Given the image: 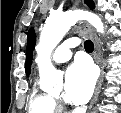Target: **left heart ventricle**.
<instances>
[{"label": "left heart ventricle", "mask_w": 121, "mask_h": 113, "mask_svg": "<svg viewBox=\"0 0 121 113\" xmlns=\"http://www.w3.org/2000/svg\"><path fill=\"white\" fill-rule=\"evenodd\" d=\"M59 94H60L59 92L53 93V95L56 96V97H59Z\"/></svg>", "instance_id": "left-heart-ventricle-1"}]
</instances>
